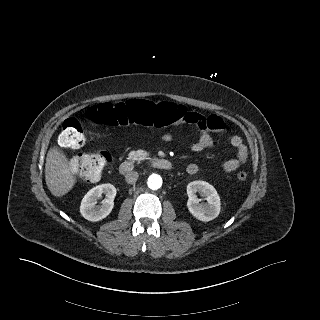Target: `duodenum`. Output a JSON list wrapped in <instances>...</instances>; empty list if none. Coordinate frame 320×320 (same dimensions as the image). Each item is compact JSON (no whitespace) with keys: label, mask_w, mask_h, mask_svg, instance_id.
Wrapping results in <instances>:
<instances>
[{"label":"duodenum","mask_w":320,"mask_h":320,"mask_svg":"<svg viewBox=\"0 0 320 320\" xmlns=\"http://www.w3.org/2000/svg\"><path fill=\"white\" fill-rule=\"evenodd\" d=\"M149 165L160 170L170 171L173 169L171 161L164 158H156L149 161ZM135 168V162L125 160L120 164L119 170L121 174H127Z\"/></svg>","instance_id":"410a0bca"}]
</instances>
